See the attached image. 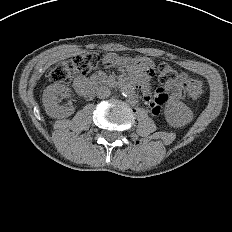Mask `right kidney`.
Returning a JSON list of instances; mask_svg holds the SVG:
<instances>
[{
	"label": "right kidney",
	"instance_id": "ca27d5eb",
	"mask_svg": "<svg viewBox=\"0 0 232 232\" xmlns=\"http://www.w3.org/2000/svg\"><path fill=\"white\" fill-rule=\"evenodd\" d=\"M69 88L62 84L49 85L43 92L42 102L48 116L55 119H62L74 113V107L58 104V95L66 94Z\"/></svg>",
	"mask_w": 232,
	"mask_h": 232
}]
</instances>
